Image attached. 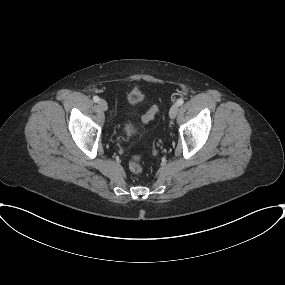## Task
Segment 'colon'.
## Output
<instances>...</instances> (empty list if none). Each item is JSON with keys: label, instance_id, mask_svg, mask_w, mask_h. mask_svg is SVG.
Wrapping results in <instances>:
<instances>
[{"label": "colon", "instance_id": "1", "mask_svg": "<svg viewBox=\"0 0 285 285\" xmlns=\"http://www.w3.org/2000/svg\"><path fill=\"white\" fill-rule=\"evenodd\" d=\"M159 111V107L157 104H153L148 111L143 115L142 120L145 123H148L154 119L156 114ZM129 169L135 173L140 174L143 171V165L139 157H133L129 162Z\"/></svg>", "mask_w": 285, "mask_h": 285}]
</instances>
